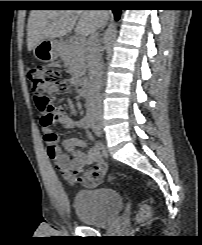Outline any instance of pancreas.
<instances>
[{
	"label": "pancreas",
	"mask_w": 202,
	"mask_h": 245,
	"mask_svg": "<svg viewBox=\"0 0 202 245\" xmlns=\"http://www.w3.org/2000/svg\"><path fill=\"white\" fill-rule=\"evenodd\" d=\"M61 58L68 72L78 83L86 71L85 45L76 44L75 40L65 43L61 48Z\"/></svg>",
	"instance_id": "cf45deb5"
}]
</instances>
